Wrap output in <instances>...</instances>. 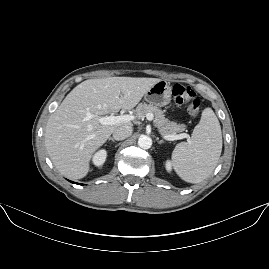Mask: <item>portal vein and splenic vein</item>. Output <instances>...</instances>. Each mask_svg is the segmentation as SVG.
I'll list each match as a JSON object with an SVG mask.
<instances>
[{
  "instance_id": "portal-vein-and-splenic-vein-1",
  "label": "portal vein and splenic vein",
  "mask_w": 269,
  "mask_h": 269,
  "mask_svg": "<svg viewBox=\"0 0 269 269\" xmlns=\"http://www.w3.org/2000/svg\"><path fill=\"white\" fill-rule=\"evenodd\" d=\"M94 117H96L94 114L87 112L86 117L83 120L87 121ZM134 119H135L134 115L126 114V115H120V116L111 115V116H106V117H100L98 120H99V123L103 125H114L121 122H129ZM146 119L151 121L153 119V114L147 113ZM163 138L168 141H174V140H180L184 138H190V136L187 133H182V134H177V135H174V134L165 135Z\"/></svg>"
}]
</instances>
